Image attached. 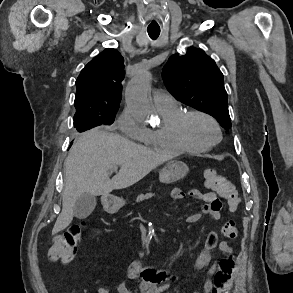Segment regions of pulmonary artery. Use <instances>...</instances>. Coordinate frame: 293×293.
Masks as SVG:
<instances>
[{"label":"pulmonary artery","instance_id":"1","mask_svg":"<svg viewBox=\"0 0 293 293\" xmlns=\"http://www.w3.org/2000/svg\"><path fill=\"white\" fill-rule=\"evenodd\" d=\"M153 101L156 108H163L176 104L174 97L162 90H157L154 92Z\"/></svg>","mask_w":293,"mask_h":293}]
</instances>
